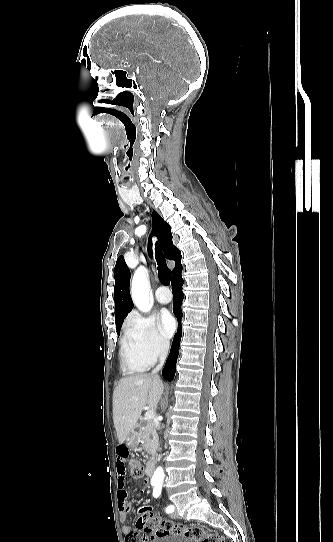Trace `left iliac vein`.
<instances>
[{
	"instance_id": "obj_1",
	"label": "left iliac vein",
	"mask_w": 333,
	"mask_h": 542,
	"mask_svg": "<svg viewBox=\"0 0 333 542\" xmlns=\"http://www.w3.org/2000/svg\"><path fill=\"white\" fill-rule=\"evenodd\" d=\"M173 515L176 516V515H177V512H174Z\"/></svg>"
}]
</instances>
